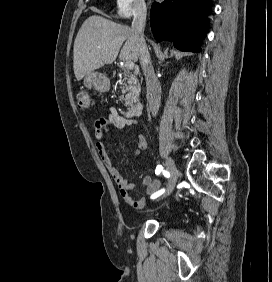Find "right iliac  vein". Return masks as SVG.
I'll list each match as a JSON object with an SVG mask.
<instances>
[{
    "instance_id": "obj_1",
    "label": "right iliac vein",
    "mask_w": 272,
    "mask_h": 282,
    "mask_svg": "<svg viewBox=\"0 0 272 282\" xmlns=\"http://www.w3.org/2000/svg\"><path fill=\"white\" fill-rule=\"evenodd\" d=\"M166 166H167V170L170 176L168 180L166 193L164 194L163 197H167L172 193V191L174 190V187L177 181V175H178V169L171 157H167Z\"/></svg>"
}]
</instances>
